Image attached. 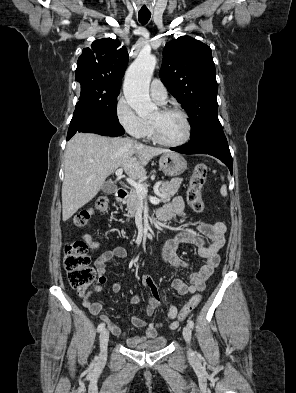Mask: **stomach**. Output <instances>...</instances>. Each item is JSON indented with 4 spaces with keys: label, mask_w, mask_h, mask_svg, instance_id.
<instances>
[{
    "label": "stomach",
    "mask_w": 296,
    "mask_h": 393,
    "mask_svg": "<svg viewBox=\"0 0 296 393\" xmlns=\"http://www.w3.org/2000/svg\"><path fill=\"white\" fill-rule=\"evenodd\" d=\"M160 169L164 174L175 177L181 175L187 169V162L178 153H164L159 160Z\"/></svg>",
    "instance_id": "1"
}]
</instances>
